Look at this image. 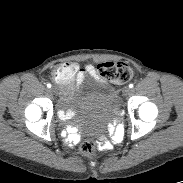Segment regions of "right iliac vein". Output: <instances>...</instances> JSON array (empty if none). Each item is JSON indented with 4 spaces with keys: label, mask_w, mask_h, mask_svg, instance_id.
<instances>
[{
    "label": "right iliac vein",
    "mask_w": 183,
    "mask_h": 183,
    "mask_svg": "<svg viewBox=\"0 0 183 183\" xmlns=\"http://www.w3.org/2000/svg\"><path fill=\"white\" fill-rule=\"evenodd\" d=\"M50 91L52 92V93H54V94H56V88H54V87H52L51 89H50Z\"/></svg>",
    "instance_id": "63e3f726"
}]
</instances>
